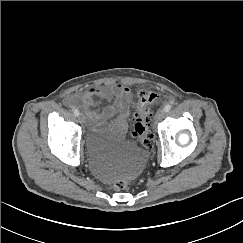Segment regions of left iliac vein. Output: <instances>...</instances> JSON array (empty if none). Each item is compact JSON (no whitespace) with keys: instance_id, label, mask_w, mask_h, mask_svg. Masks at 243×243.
Masks as SVG:
<instances>
[{"instance_id":"left-iliac-vein-1","label":"left iliac vein","mask_w":243,"mask_h":243,"mask_svg":"<svg viewBox=\"0 0 243 243\" xmlns=\"http://www.w3.org/2000/svg\"><path fill=\"white\" fill-rule=\"evenodd\" d=\"M164 114H165L164 110L162 109L158 110L155 115V120L160 121L164 117Z\"/></svg>"}]
</instances>
